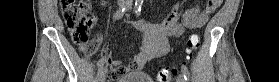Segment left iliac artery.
I'll list each match as a JSON object with an SVG mask.
<instances>
[{"mask_svg": "<svg viewBox=\"0 0 279 82\" xmlns=\"http://www.w3.org/2000/svg\"><path fill=\"white\" fill-rule=\"evenodd\" d=\"M142 5H143V0H136V2H135V13L137 15H139L141 13ZM181 70H182L185 81L186 82L189 81L190 74H189L188 68L183 65L181 67Z\"/></svg>", "mask_w": 279, "mask_h": 82, "instance_id": "obj_1", "label": "left iliac artery"}]
</instances>
